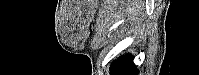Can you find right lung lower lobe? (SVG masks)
<instances>
[{
  "instance_id": "1",
  "label": "right lung lower lobe",
  "mask_w": 199,
  "mask_h": 75,
  "mask_svg": "<svg viewBox=\"0 0 199 75\" xmlns=\"http://www.w3.org/2000/svg\"><path fill=\"white\" fill-rule=\"evenodd\" d=\"M111 75H137L138 70L133 63V57L130 55L119 58L112 64Z\"/></svg>"
}]
</instances>
